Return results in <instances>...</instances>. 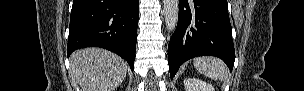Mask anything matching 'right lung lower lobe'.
I'll list each match as a JSON object with an SVG mask.
<instances>
[{"mask_svg": "<svg viewBox=\"0 0 304 91\" xmlns=\"http://www.w3.org/2000/svg\"><path fill=\"white\" fill-rule=\"evenodd\" d=\"M139 0H73L68 56L76 49L102 47L134 67Z\"/></svg>", "mask_w": 304, "mask_h": 91, "instance_id": "right-lung-lower-lobe-1", "label": "right lung lower lobe"}]
</instances>
